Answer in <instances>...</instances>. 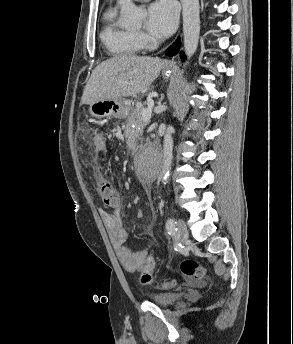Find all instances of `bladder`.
Instances as JSON below:
<instances>
[{"label":"bladder","instance_id":"obj_1","mask_svg":"<svg viewBox=\"0 0 293 344\" xmlns=\"http://www.w3.org/2000/svg\"><path fill=\"white\" fill-rule=\"evenodd\" d=\"M182 298L183 295L180 293L165 292L149 294L150 301L161 307H171L177 304Z\"/></svg>","mask_w":293,"mask_h":344}]
</instances>
